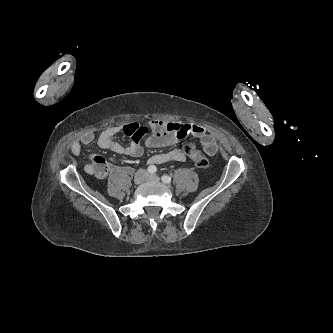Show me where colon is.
<instances>
[{"label": "colon", "instance_id": "1", "mask_svg": "<svg viewBox=\"0 0 333 333\" xmlns=\"http://www.w3.org/2000/svg\"><path fill=\"white\" fill-rule=\"evenodd\" d=\"M196 150H197L196 144L193 142L187 143L183 147V151L186 155L193 156V162L197 167L199 168L207 167L209 164L208 158L204 155L196 154Z\"/></svg>", "mask_w": 333, "mask_h": 333}]
</instances>
